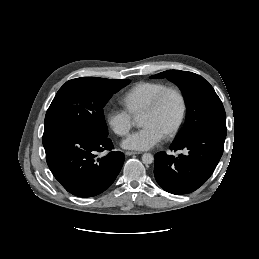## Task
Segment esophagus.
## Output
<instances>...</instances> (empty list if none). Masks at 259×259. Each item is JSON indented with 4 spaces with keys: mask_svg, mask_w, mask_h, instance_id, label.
<instances>
[{
    "mask_svg": "<svg viewBox=\"0 0 259 259\" xmlns=\"http://www.w3.org/2000/svg\"><path fill=\"white\" fill-rule=\"evenodd\" d=\"M125 154L127 156H131V155H137V154H141V152H135V151H126Z\"/></svg>",
    "mask_w": 259,
    "mask_h": 259,
    "instance_id": "1",
    "label": "esophagus"
}]
</instances>
